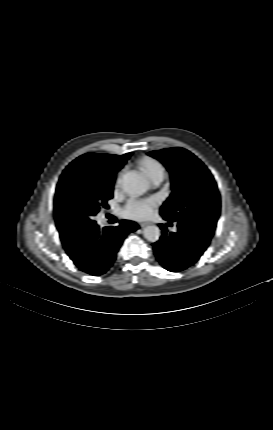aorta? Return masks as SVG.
Masks as SVG:
<instances>
[{
	"instance_id": "1",
	"label": "aorta",
	"mask_w": 273,
	"mask_h": 430,
	"mask_svg": "<svg viewBox=\"0 0 273 430\" xmlns=\"http://www.w3.org/2000/svg\"><path fill=\"white\" fill-rule=\"evenodd\" d=\"M122 187L124 191L133 197L143 195L149 189L147 179L137 171H129L122 177ZM161 235L158 226H147L144 229V237L149 242H156Z\"/></svg>"
}]
</instances>
